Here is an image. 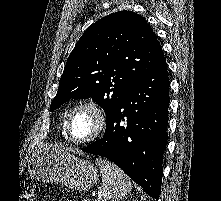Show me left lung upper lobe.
Here are the masks:
<instances>
[{"label":"left lung upper lobe","instance_id":"obj_1","mask_svg":"<svg viewBox=\"0 0 221 201\" xmlns=\"http://www.w3.org/2000/svg\"><path fill=\"white\" fill-rule=\"evenodd\" d=\"M164 55L145 19L119 11L92 24L67 59L51 111L70 99L91 97L110 120L127 93Z\"/></svg>","mask_w":221,"mask_h":201}]
</instances>
